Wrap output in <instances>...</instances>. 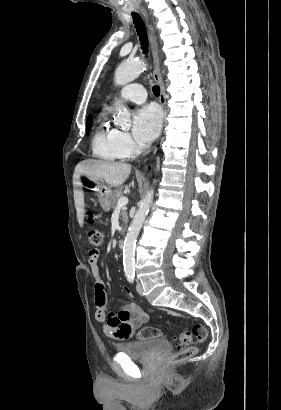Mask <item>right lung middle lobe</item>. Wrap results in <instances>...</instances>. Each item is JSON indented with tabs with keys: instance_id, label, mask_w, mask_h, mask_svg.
Listing matches in <instances>:
<instances>
[{
	"instance_id": "obj_1",
	"label": "right lung middle lobe",
	"mask_w": 281,
	"mask_h": 410,
	"mask_svg": "<svg viewBox=\"0 0 281 410\" xmlns=\"http://www.w3.org/2000/svg\"><path fill=\"white\" fill-rule=\"evenodd\" d=\"M91 126H92V116H89L87 119V133H89Z\"/></svg>"
}]
</instances>
